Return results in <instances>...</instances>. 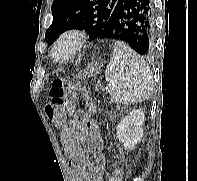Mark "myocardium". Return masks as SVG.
I'll return each instance as SVG.
<instances>
[{"instance_id":"obj_1","label":"myocardium","mask_w":197,"mask_h":181,"mask_svg":"<svg viewBox=\"0 0 197 181\" xmlns=\"http://www.w3.org/2000/svg\"><path fill=\"white\" fill-rule=\"evenodd\" d=\"M73 40V48L71 52L64 58L57 57L58 46L65 40ZM89 40V35L84 29L70 28L62 32L54 42L52 48V58L59 63H66L75 58L86 46Z\"/></svg>"}]
</instances>
